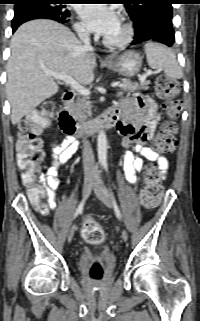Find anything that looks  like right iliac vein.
<instances>
[{
    "label": "right iliac vein",
    "instance_id": "obj_1",
    "mask_svg": "<svg viewBox=\"0 0 200 321\" xmlns=\"http://www.w3.org/2000/svg\"><path fill=\"white\" fill-rule=\"evenodd\" d=\"M94 181V175L89 174L86 176L85 181H84V186H83V198L86 199L90 192H91V187ZM74 232H75V226L72 225L68 231V241H70L73 236H74Z\"/></svg>",
    "mask_w": 200,
    "mask_h": 321
}]
</instances>
